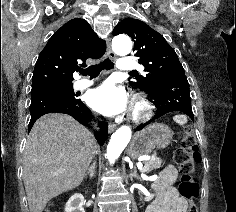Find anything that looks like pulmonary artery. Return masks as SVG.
<instances>
[{
  "instance_id": "1",
  "label": "pulmonary artery",
  "mask_w": 236,
  "mask_h": 212,
  "mask_svg": "<svg viewBox=\"0 0 236 212\" xmlns=\"http://www.w3.org/2000/svg\"><path fill=\"white\" fill-rule=\"evenodd\" d=\"M138 63L135 60L121 58L118 60L117 69L120 71L133 70L138 67ZM94 83L93 80L81 79L75 82L74 88L77 90H83L90 87Z\"/></svg>"
}]
</instances>
